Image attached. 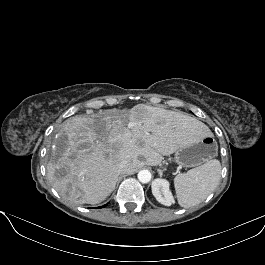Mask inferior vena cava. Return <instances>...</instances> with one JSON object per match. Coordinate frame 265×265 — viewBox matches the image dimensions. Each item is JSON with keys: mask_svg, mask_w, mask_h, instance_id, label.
<instances>
[{"mask_svg": "<svg viewBox=\"0 0 265 265\" xmlns=\"http://www.w3.org/2000/svg\"><path fill=\"white\" fill-rule=\"evenodd\" d=\"M127 163L125 161L120 162L119 164V173L126 172Z\"/></svg>", "mask_w": 265, "mask_h": 265, "instance_id": "inferior-vena-cava-1", "label": "inferior vena cava"}]
</instances>
